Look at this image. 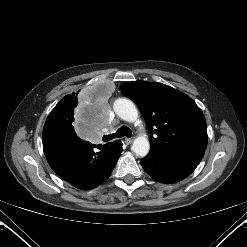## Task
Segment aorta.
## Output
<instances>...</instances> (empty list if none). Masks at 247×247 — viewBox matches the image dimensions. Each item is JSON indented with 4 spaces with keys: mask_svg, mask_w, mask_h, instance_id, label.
<instances>
[{
    "mask_svg": "<svg viewBox=\"0 0 247 247\" xmlns=\"http://www.w3.org/2000/svg\"><path fill=\"white\" fill-rule=\"evenodd\" d=\"M115 113L124 121L134 122L138 118V110L135 104L125 98H118L113 103ZM132 151L139 157H145L150 150V143L147 137L138 136L132 144Z\"/></svg>",
    "mask_w": 247,
    "mask_h": 247,
    "instance_id": "1",
    "label": "aorta"
}]
</instances>
